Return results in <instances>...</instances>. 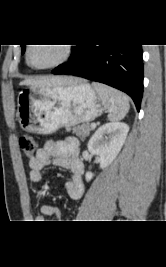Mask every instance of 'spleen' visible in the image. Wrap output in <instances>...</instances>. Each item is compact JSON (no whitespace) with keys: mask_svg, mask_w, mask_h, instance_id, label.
Returning <instances> with one entry per match:
<instances>
[{"mask_svg":"<svg viewBox=\"0 0 166 267\" xmlns=\"http://www.w3.org/2000/svg\"><path fill=\"white\" fill-rule=\"evenodd\" d=\"M93 87L109 112L108 119L110 121H119L126 116L130 104L129 98L124 93L99 83H93Z\"/></svg>","mask_w":166,"mask_h":267,"instance_id":"3e777b00","label":"spleen"}]
</instances>
